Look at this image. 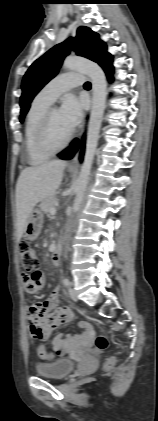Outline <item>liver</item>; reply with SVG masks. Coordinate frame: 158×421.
<instances>
[{
    "label": "liver",
    "instance_id": "1",
    "mask_svg": "<svg viewBox=\"0 0 158 421\" xmlns=\"http://www.w3.org/2000/svg\"><path fill=\"white\" fill-rule=\"evenodd\" d=\"M66 162L54 160L21 171L16 184L17 237L25 232L29 214L40 201L59 188Z\"/></svg>",
    "mask_w": 158,
    "mask_h": 421
}]
</instances>
